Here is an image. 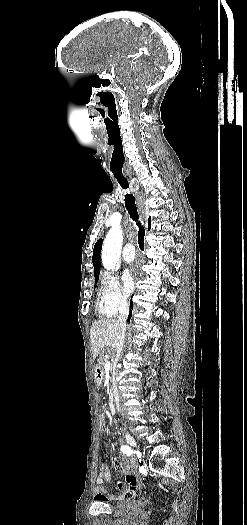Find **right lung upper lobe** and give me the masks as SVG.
I'll return each instance as SVG.
<instances>
[{
    "instance_id": "cb5924a9",
    "label": "right lung upper lobe",
    "mask_w": 247,
    "mask_h": 525,
    "mask_svg": "<svg viewBox=\"0 0 247 525\" xmlns=\"http://www.w3.org/2000/svg\"><path fill=\"white\" fill-rule=\"evenodd\" d=\"M151 217L148 221V230H150ZM102 248V239L98 240L94 246L92 262L94 266V276H99L100 272V253Z\"/></svg>"
}]
</instances>
